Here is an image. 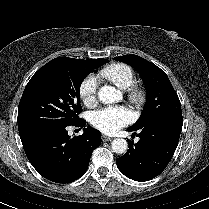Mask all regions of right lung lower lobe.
<instances>
[{
  "label": "right lung lower lobe",
  "instance_id": "98d812e1",
  "mask_svg": "<svg viewBox=\"0 0 209 209\" xmlns=\"http://www.w3.org/2000/svg\"><path fill=\"white\" fill-rule=\"evenodd\" d=\"M84 127L79 119L67 126ZM67 126L36 131L21 138L24 151L33 167L44 178L56 183H71L87 170L92 151L101 145V134L94 128L71 138Z\"/></svg>",
  "mask_w": 209,
  "mask_h": 209
}]
</instances>
